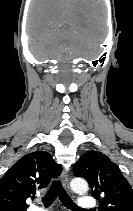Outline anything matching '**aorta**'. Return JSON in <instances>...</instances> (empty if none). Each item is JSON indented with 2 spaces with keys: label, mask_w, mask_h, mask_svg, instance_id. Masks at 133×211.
<instances>
[{
  "label": "aorta",
  "mask_w": 133,
  "mask_h": 211,
  "mask_svg": "<svg viewBox=\"0 0 133 211\" xmlns=\"http://www.w3.org/2000/svg\"><path fill=\"white\" fill-rule=\"evenodd\" d=\"M70 186L79 195H84L88 192V183L83 178H74L70 182Z\"/></svg>",
  "instance_id": "762f6f07"
}]
</instances>
